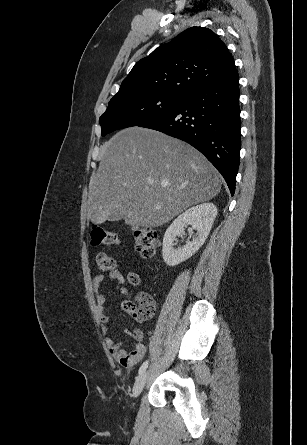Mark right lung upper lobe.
<instances>
[{
  "label": "right lung upper lobe",
  "mask_w": 307,
  "mask_h": 445,
  "mask_svg": "<svg viewBox=\"0 0 307 445\" xmlns=\"http://www.w3.org/2000/svg\"><path fill=\"white\" fill-rule=\"evenodd\" d=\"M234 69L232 55L212 30L191 27L138 61L115 96H186Z\"/></svg>",
  "instance_id": "right-lung-upper-lobe-1"
}]
</instances>
